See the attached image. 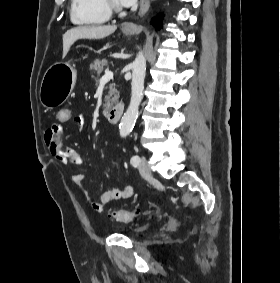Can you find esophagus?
Segmentation results:
<instances>
[{"instance_id": "34e87169", "label": "esophagus", "mask_w": 280, "mask_h": 283, "mask_svg": "<svg viewBox=\"0 0 280 283\" xmlns=\"http://www.w3.org/2000/svg\"><path fill=\"white\" fill-rule=\"evenodd\" d=\"M149 6H150L149 0H141L138 17H143L145 15V13L148 11ZM136 28L137 27L134 23H128L124 26L125 30H134Z\"/></svg>"}]
</instances>
